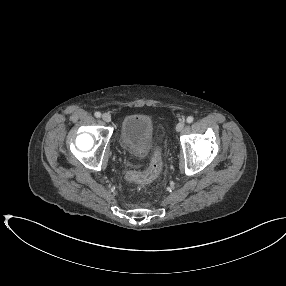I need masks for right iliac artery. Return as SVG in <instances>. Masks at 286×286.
<instances>
[{"instance_id": "obj_1", "label": "right iliac artery", "mask_w": 286, "mask_h": 286, "mask_svg": "<svg viewBox=\"0 0 286 286\" xmlns=\"http://www.w3.org/2000/svg\"><path fill=\"white\" fill-rule=\"evenodd\" d=\"M95 117L100 118L101 117V113L100 112H95Z\"/></svg>"}]
</instances>
